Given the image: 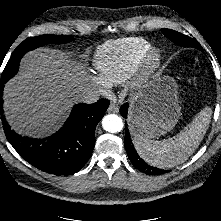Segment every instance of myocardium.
Instances as JSON below:
<instances>
[{"label":"myocardium","mask_w":221,"mask_h":221,"mask_svg":"<svg viewBox=\"0 0 221 221\" xmlns=\"http://www.w3.org/2000/svg\"><path fill=\"white\" fill-rule=\"evenodd\" d=\"M163 52L160 48L151 46L141 57L136 68L127 81V88L136 91L142 83L148 80L160 67Z\"/></svg>","instance_id":"1"}]
</instances>
